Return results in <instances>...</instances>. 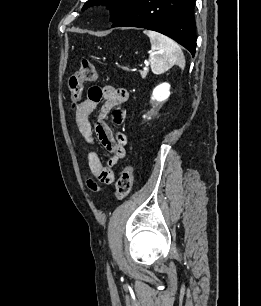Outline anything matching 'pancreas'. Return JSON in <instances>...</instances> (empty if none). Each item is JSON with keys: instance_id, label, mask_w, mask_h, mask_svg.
I'll return each mask as SVG.
<instances>
[{"instance_id": "obj_1", "label": "pancreas", "mask_w": 261, "mask_h": 306, "mask_svg": "<svg viewBox=\"0 0 261 306\" xmlns=\"http://www.w3.org/2000/svg\"><path fill=\"white\" fill-rule=\"evenodd\" d=\"M140 74H141L142 78H145L146 75H147V71H141Z\"/></svg>"}]
</instances>
